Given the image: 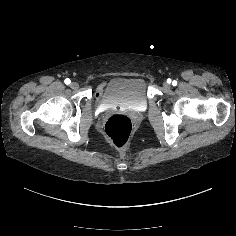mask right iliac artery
Masks as SVG:
<instances>
[{
    "label": "right iliac artery",
    "mask_w": 236,
    "mask_h": 236,
    "mask_svg": "<svg viewBox=\"0 0 236 236\" xmlns=\"http://www.w3.org/2000/svg\"><path fill=\"white\" fill-rule=\"evenodd\" d=\"M64 82H65V84H67V85L71 83V81H70V79H69V78L65 79V81H64Z\"/></svg>",
    "instance_id": "obj_1"
}]
</instances>
